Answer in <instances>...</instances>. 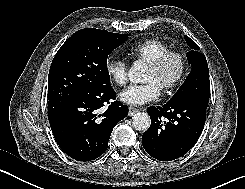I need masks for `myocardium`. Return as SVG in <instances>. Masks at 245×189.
Segmentation results:
<instances>
[{
    "label": "myocardium",
    "mask_w": 245,
    "mask_h": 189,
    "mask_svg": "<svg viewBox=\"0 0 245 189\" xmlns=\"http://www.w3.org/2000/svg\"><path fill=\"white\" fill-rule=\"evenodd\" d=\"M173 59L179 63V72L172 81L168 82L163 86L162 90L164 92L174 91L180 86V84L184 80L187 73V60L185 56L177 51H168L148 64V67L153 72L158 73L167 65L169 61Z\"/></svg>",
    "instance_id": "obj_1"
}]
</instances>
